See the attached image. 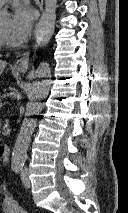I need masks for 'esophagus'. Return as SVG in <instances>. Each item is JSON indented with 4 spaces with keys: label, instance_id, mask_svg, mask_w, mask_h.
<instances>
[{
    "label": "esophagus",
    "instance_id": "obj_1",
    "mask_svg": "<svg viewBox=\"0 0 128 213\" xmlns=\"http://www.w3.org/2000/svg\"><path fill=\"white\" fill-rule=\"evenodd\" d=\"M37 5H38L40 11H42L43 0H37ZM29 57H30V53L29 52L25 53L21 58H19L14 63L13 67L15 69H18V70H26V69H28V66H29Z\"/></svg>",
    "mask_w": 128,
    "mask_h": 213
}]
</instances>
